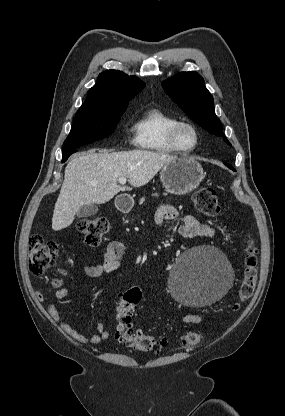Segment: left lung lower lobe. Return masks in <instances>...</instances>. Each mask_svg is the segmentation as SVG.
<instances>
[{
    "instance_id": "1",
    "label": "left lung lower lobe",
    "mask_w": 285,
    "mask_h": 416,
    "mask_svg": "<svg viewBox=\"0 0 285 416\" xmlns=\"http://www.w3.org/2000/svg\"><path fill=\"white\" fill-rule=\"evenodd\" d=\"M228 168L232 169L233 171H236L230 164L224 163Z\"/></svg>"
}]
</instances>
